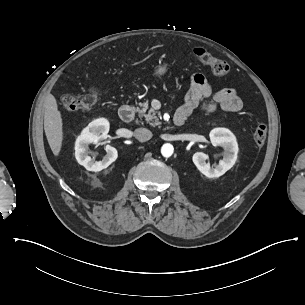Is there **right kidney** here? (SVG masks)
Segmentation results:
<instances>
[{
    "mask_svg": "<svg viewBox=\"0 0 305 305\" xmlns=\"http://www.w3.org/2000/svg\"><path fill=\"white\" fill-rule=\"evenodd\" d=\"M91 128V131H89ZM109 131V122L106 119H97L89 124V126L84 129L80 136L75 142V157L77 162L84 166L89 171L98 172L107 168L112 162H114L118 153L117 150L107 145V154L103 157L101 161H95L88 155V145L90 143H97L99 139L105 138ZM102 134V136L100 135Z\"/></svg>",
    "mask_w": 305,
    "mask_h": 305,
    "instance_id": "right-kidney-1",
    "label": "right kidney"
}]
</instances>
